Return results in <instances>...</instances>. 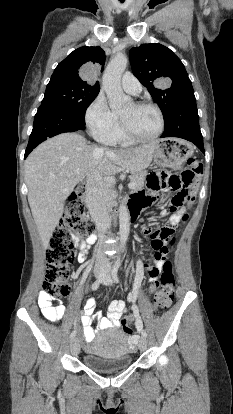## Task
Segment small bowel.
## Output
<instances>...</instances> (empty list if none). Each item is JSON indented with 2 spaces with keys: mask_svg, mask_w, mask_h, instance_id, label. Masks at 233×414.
<instances>
[{
  "mask_svg": "<svg viewBox=\"0 0 233 414\" xmlns=\"http://www.w3.org/2000/svg\"><path fill=\"white\" fill-rule=\"evenodd\" d=\"M156 193L149 192L148 194L144 193H137L133 196L131 201V208L139 213V211L146 207L147 204L155 197ZM187 215V208L182 206L178 208L173 215L170 217L169 225L176 226L180 223L183 217ZM170 228V227H168ZM148 229H144V233H148ZM93 236L88 237L85 241H79V253H78V261L80 263L84 262L87 258V251L89 244L93 241ZM164 259L156 260L155 268L160 270L162 268ZM146 265L142 263V261H138L137 270H136V280L134 288L130 291L128 295V301L132 303L130 305L131 311L137 310V305L134 304L138 294V287L143 279L144 275V268ZM151 269H149V281L151 283L150 290L152 291L153 285L157 280V276L151 273ZM38 305L42 315L51 322H58L60 321L64 314L65 308L62 304L56 303L55 299L50 296L45 291H42L38 295ZM94 310H95V301L94 299L90 298L86 301L83 314L81 316V323H82V332L84 339L87 343L91 342L95 336V330L92 328L91 324L94 318ZM126 310V304L123 300H114L110 303L108 307V311L105 313L107 314L106 317L97 316V325L99 329H106L110 327H118L120 325V319L123 313ZM86 349H89V346H85Z\"/></svg>",
  "mask_w": 233,
  "mask_h": 414,
  "instance_id": "small-bowel-1",
  "label": "small bowel"
}]
</instances>
